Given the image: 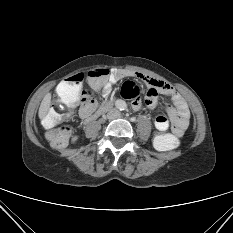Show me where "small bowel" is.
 <instances>
[{
    "instance_id": "c3829d8e",
    "label": "small bowel",
    "mask_w": 233,
    "mask_h": 233,
    "mask_svg": "<svg viewBox=\"0 0 233 233\" xmlns=\"http://www.w3.org/2000/svg\"><path fill=\"white\" fill-rule=\"evenodd\" d=\"M135 78L142 82L148 88V93L144 101L139 95V88L135 84V88L128 96L131 99V106L134 110L150 109L155 106L157 96L159 94L170 97L172 105L166 107L170 121L164 115H158L155 118V127L160 132H165L171 127L174 135L180 137L184 134L189 123V109L184 98L170 84L154 78L152 76L132 72L126 69H113L102 88V95L110 98L113 86L124 78ZM95 103L93 105L83 102L79 108V115L82 119H89L95 111Z\"/></svg>"
}]
</instances>
